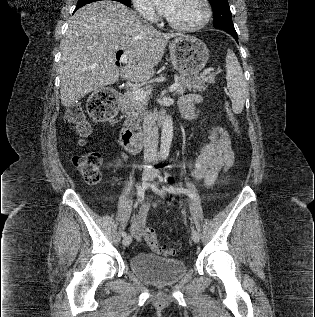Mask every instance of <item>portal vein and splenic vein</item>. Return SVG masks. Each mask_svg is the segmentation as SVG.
<instances>
[{
	"label": "portal vein and splenic vein",
	"instance_id": "1",
	"mask_svg": "<svg viewBox=\"0 0 315 317\" xmlns=\"http://www.w3.org/2000/svg\"><path fill=\"white\" fill-rule=\"evenodd\" d=\"M120 61H121L122 64H127V62H128L127 56H126V55H123ZM209 70H212V68H210ZM209 70H207V71H209ZM178 86H179V83L176 81L173 85H171V87L169 88V91H170V92L176 91L177 88H178ZM151 92H152L151 89H149V90H147V91H144V90H142V89L139 88V87L134 88L133 91H132L134 97H135L137 100L146 99V97H147L149 94H151Z\"/></svg>",
	"mask_w": 315,
	"mask_h": 317
}]
</instances>
